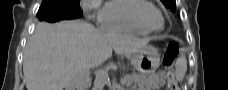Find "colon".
Here are the masks:
<instances>
[{
  "mask_svg": "<svg viewBox=\"0 0 228 90\" xmlns=\"http://www.w3.org/2000/svg\"><path fill=\"white\" fill-rule=\"evenodd\" d=\"M179 53V45L176 42H169L164 54L163 63L168 75V89L169 90H180L174 74H173V64Z\"/></svg>",
  "mask_w": 228,
  "mask_h": 90,
  "instance_id": "colon-1",
  "label": "colon"
}]
</instances>
